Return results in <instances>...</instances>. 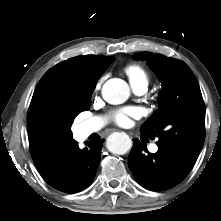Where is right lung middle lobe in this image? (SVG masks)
<instances>
[{"label":"right lung middle lobe","instance_id":"dd1d6c3e","mask_svg":"<svg viewBox=\"0 0 221 221\" xmlns=\"http://www.w3.org/2000/svg\"><path fill=\"white\" fill-rule=\"evenodd\" d=\"M93 90L94 88L87 91L82 97L73 99L71 103L68 105L67 111L71 123L80 112L86 111L90 108L91 95ZM53 133H54V128L52 127L47 128L46 134L48 136H52Z\"/></svg>","mask_w":221,"mask_h":221}]
</instances>
